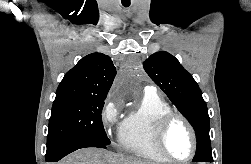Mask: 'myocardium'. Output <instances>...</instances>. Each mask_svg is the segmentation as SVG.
Wrapping results in <instances>:
<instances>
[{
  "label": "myocardium",
  "instance_id": "f54148a6",
  "mask_svg": "<svg viewBox=\"0 0 251 164\" xmlns=\"http://www.w3.org/2000/svg\"><path fill=\"white\" fill-rule=\"evenodd\" d=\"M175 120H180L188 129L191 141H192V150L188 157L186 158H175L173 157L167 150L165 145V139L167 132ZM155 144L158 151L161 155L170 162L174 163H185L190 161L196 154L197 151V136L195 129L191 122L182 114L178 112L171 111L164 116H162L159 121L157 122L156 129H155Z\"/></svg>",
  "mask_w": 251,
  "mask_h": 164
}]
</instances>
